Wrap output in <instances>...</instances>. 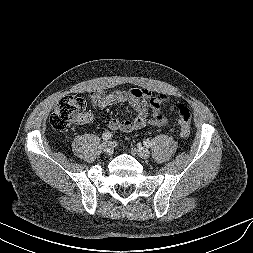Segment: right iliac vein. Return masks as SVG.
<instances>
[{"label": "right iliac vein", "mask_w": 253, "mask_h": 253, "mask_svg": "<svg viewBox=\"0 0 253 253\" xmlns=\"http://www.w3.org/2000/svg\"><path fill=\"white\" fill-rule=\"evenodd\" d=\"M102 150L110 155L113 152V143L110 141H105L104 143H102Z\"/></svg>", "instance_id": "1"}]
</instances>
